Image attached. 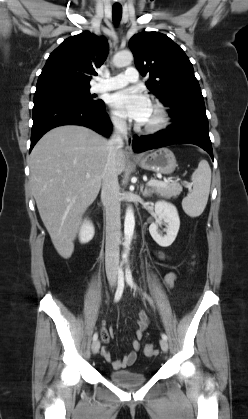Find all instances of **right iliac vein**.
I'll list each match as a JSON object with an SVG mask.
<instances>
[{"instance_id": "63e3f726", "label": "right iliac vein", "mask_w": 248, "mask_h": 419, "mask_svg": "<svg viewBox=\"0 0 248 419\" xmlns=\"http://www.w3.org/2000/svg\"><path fill=\"white\" fill-rule=\"evenodd\" d=\"M109 283H110V286H111L112 288H114V287L116 286V279H114V278L109 279ZM99 349H100V342H99V340H95V341L92 343V352H93L94 354H97V353H98V351H99Z\"/></svg>"}]
</instances>
